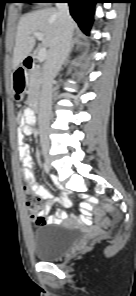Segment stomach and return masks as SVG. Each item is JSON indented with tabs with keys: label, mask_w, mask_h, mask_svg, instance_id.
<instances>
[{
	"label": "stomach",
	"mask_w": 136,
	"mask_h": 296,
	"mask_svg": "<svg viewBox=\"0 0 136 296\" xmlns=\"http://www.w3.org/2000/svg\"><path fill=\"white\" fill-rule=\"evenodd\" d=\"M25 85H12V89H10V94H13L14 101H21L22 94H24Z\"/></svg>",
	"instance_id": "stomach-1"
}]
</instances>
